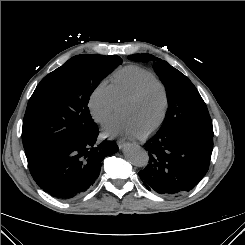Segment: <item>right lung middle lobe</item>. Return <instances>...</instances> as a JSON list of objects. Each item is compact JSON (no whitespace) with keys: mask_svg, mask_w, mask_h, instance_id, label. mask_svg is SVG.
<instances>
[{"mask_svg":"<svg viewBox=\"0 0 245 245\" xmlns=\"http://www.w3.org/2000/svg\"><path fill=\"white\" fill-rule=\"evenodd\" d=\"M121 63L119 56L82 54L45 76L32 94L23 120L26 156L95 130L88 108L90 96Z\"/></svg>","mask_w":245,"mask_h":245,"instance_id":"1","label":"right lung middle lobe"}]
</instances>
